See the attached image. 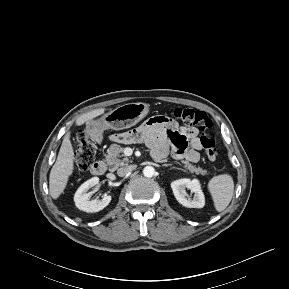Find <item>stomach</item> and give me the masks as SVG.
<instances>
[{
	"label": "stomach",
	"mask_w": 289,
	"mask_h": 289,
	"mask_svg": "<svg viewBox=\"0 0 289 289\" xmlns=\"http://www.w3.org/2000/svg\"><path fill=\"white\" fill-rule=\"evenodd\" d=\"M149 113V105L143 102L128 103L117 107L97 120L87 123L91 137L100 135L106 129L123 130L140 122Z\"/></svg>",
	"instance_id": "0dacf381"
}]
</instances>
